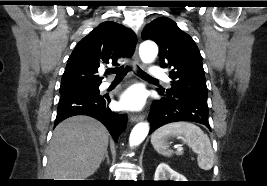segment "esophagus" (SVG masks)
<instances>
[{
    "label": "esophagus",
    "mask_w": 267,
    "mask_h": 186,
    "mask_svg": "<svg viewBox=\"0 0 267 186\" xmlns=\"http://www.w3.org/2000/svg\"><path fill=\"white\" fill-rule=\"evenodd\" d=\"M137 48H138V46L136 47L135 53H134V55H133L134 69H137L138 67H139V68H143V67H144L143 63H142L141 60L139 59L138 52H137ZM144 118H145V114L132 115V116L130 117V122H132V123H136V122H139V121L144 120Z\"/></svg>",
    "instance_id": "esophagus-1"
}]
</instances>
